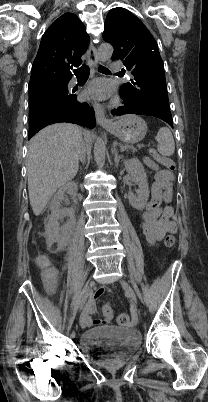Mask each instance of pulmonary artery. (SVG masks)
<instances>
[{
  "instance_id": "pulmonary-artery-1",
  "label": "pulmonary artery",
  "mask_w": 208,
  "mask_h": 402,
  "mask_svg": "<svg viewBox=\"0 0 208 402\" xmlns=\"http://www.w3.org/2000/svg\"><path fill=\"white\" fill-rule=\"evenodd\" d=\"M111 69L113 70V71H119L120 69H121V66L119 65V64H117V62L116 61H113L112 62V66H111Z\"/></svg>"
}]
</instances>
